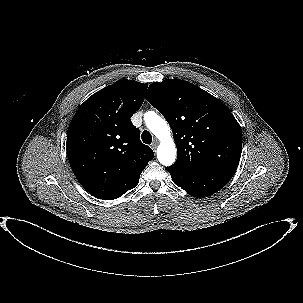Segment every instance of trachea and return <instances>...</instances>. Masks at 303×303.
I'll use <instances>...</instances> for the list:
<instances>
[{"label": "trachea", "instance_id": "obj_1", "mask_svg": "<svg viewBox=\"0 0 303 303\" xmlns=\"http://www.w3.org/2000/svg\"><path fill=\"white\" fill-rule=\"evenodd\" d=\"M142 141L145 144H151L152 142V135L150 134L149 131L145 130L142 133Z\"/></svg>", "mask_w": 303, "mask_h": 303}]
</instances>
